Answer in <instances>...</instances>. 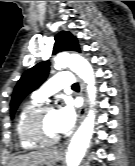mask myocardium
I'll return each instance as SVG.
<instances>
[{"label": "myocardium", "instance_id": "f54148a6", "mask_svg": "<svg viewBox=\"0 0 135 166\" xmlns=\"http://www.w3.org/2000/svg\"><path fill=\"white\" fill-rule=\"evenodd\" d=\"M51 111H54L52 104H40L26 113L22 121L21 130L27 140L38 145H53L60 140V135L53 138H46L39 128L42 116Z\"/></svg>", "mask_w": 135, "mask_h": 166}]
</instances>
